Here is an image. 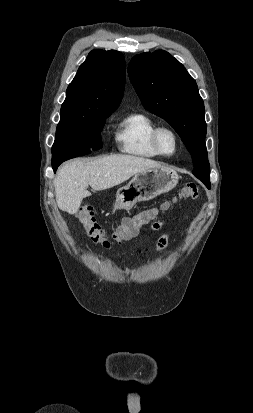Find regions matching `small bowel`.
Listing matches in <instances>:
<instances>
[{
    "label": "small bowel",
    "instance_id": "1",
    "mask_svg": "<svg viewBox=\"0 0 253 413\" xmlns=\"http://www.w3.org/2000/svg\"><path fill=\"white\" fill-rule=\"evenodd\" d=\"M162 225H163L162 221H156L152 224V229L158 230ZM167 244H168V235L161 236L157 243V250L159 252L164 251L165 248L167 247Z\"/></svg>",
    "mask_w": 253,
    "mask_h": 413
}]
</instances>
